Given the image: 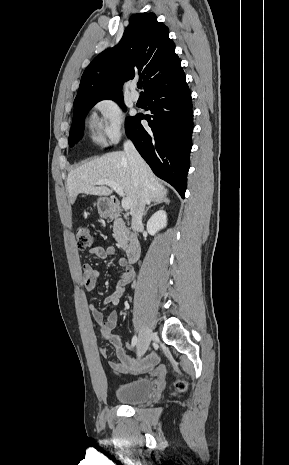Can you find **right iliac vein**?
<instances>
[{
  "instance_id": "obj_1",
  "label": "right iliac vein",
  "mask_w": 289,
  "mask_h": 465,
  "mask_svg": "<svg viewBox=\"0 0 289 465\" xmlns=\"http://www.w3.org/2000/svg\"><path fill=\"white\" fill-rule=\"evenodd\" d=\"M153 333L150 328L143 327L140 332L138 346H137V354L138 356H142L148 349L150 345V341L152 339Z\"/></svg>"
}]
</instances>
